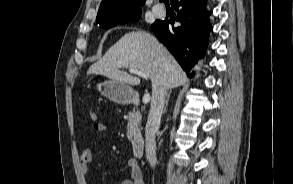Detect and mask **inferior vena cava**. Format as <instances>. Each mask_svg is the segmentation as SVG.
Segmentation results:
<instances>
[{
    "label": "inferior vena cava",
    "instance_id": "inferior-vena-cava-1",
    "mask_svg": "<svg viewBox=\"0 0 293 184\" xmlns=\"http://www.w3.org/2000/svg\"><path fill=\"white\" fill-rule=\"evenodd\" d=\"M167 88L161 87L153 94L151 108L145 128V153L151 167L156 165V141L155 133L160 126L161 115L165 103Z\"/></svg>",
    "mask_w": 293,
    "mask_h": 184
}]
</instances>
